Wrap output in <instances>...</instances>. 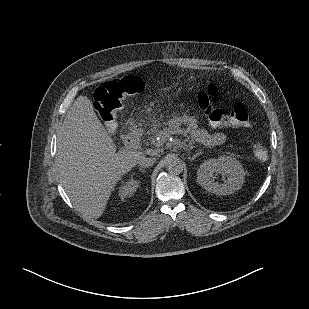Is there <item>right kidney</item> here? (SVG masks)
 I'll return each mask as SVG.
<instances>
[{
  "mask_svg": "<svg viewBox=\"0 0 309 309\" xmlns=\"http://www.w3.org/2000/svg\"><path fill=\"white\" fill-rule=\"evenodd\" d=\"M139 183L140 182L138 180H135L133 178L123 182L118 190L120 197L125 198L133 194L139 187Z\"/></svg>",
  "mask_w": 309,
  "mask_h": 309,
  "instance_id": "ca27d5eb",
  "label": "right kidney"
}]
</instances>
